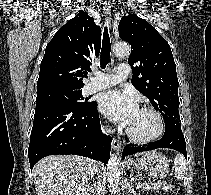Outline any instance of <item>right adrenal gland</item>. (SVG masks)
Masks as SVG:
<instances>
[{
  "mask_svg": "<svg viewBox=\"0 0 211 195\" xmlns=\"http://www.w3.org/2000/svg\"><path fill=\"white\" fill-rule=\"evenodd\" d=\"M94 195V188L92 186L88 187L85 195Z\"/></svg>",
  "mask_w": 211,
  "mask_h": 195,
  "instance_id": "1",
  "label": "right adrenal gland"
}]
</instances>
